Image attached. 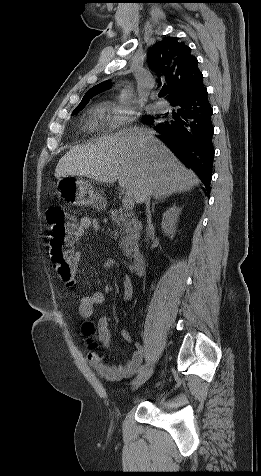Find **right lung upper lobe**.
<instances>
[{
    "mask_svg": "<svg viewBox=\"0 0 261 476\" xmlns=\"http://www.w3.org/2000/svg\"><path fill=\"white\" fill-rule=\"evenodd\" d=\"M148 53L149 67L157 74L159 85L163 81V88L167 89L170 102L189 95L202 82L203 76L198 69L197 59L191 54V49L179 39L166 37L153 45ZM109 87V80L95 85L86 92L77 107L86 105L93 96Z\"/></svg>",
    "mask_w": 261,
    "mask_h": 476,
    "instance_id": "obj_1",
    "label": "right lung upper lobe"
}]
</instances>
